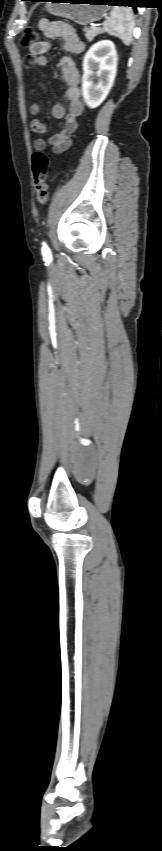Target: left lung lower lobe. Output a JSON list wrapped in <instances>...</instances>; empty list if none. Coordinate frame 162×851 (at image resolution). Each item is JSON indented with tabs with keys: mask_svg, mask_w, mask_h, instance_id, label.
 <instances>
[{
	"mask_svg": "<svg viewBox=\"0 0 162 851\" xmlns=\"http://www.w3.org/2000/svg\"><path fill=\"white\" fill-rule=\"evenodd\" d=\"M34 1H43V0H34ZM107 3H109V5L130 6V4H134L135 2L133 0H107Z\"/></svg>",
	"mask_w": 162,
	"mask_h": 851,
	"instance_id": "1",
	"label": "left lung lower lobe"
}]
</instances>
